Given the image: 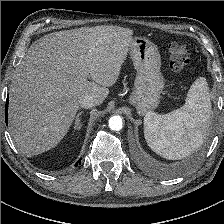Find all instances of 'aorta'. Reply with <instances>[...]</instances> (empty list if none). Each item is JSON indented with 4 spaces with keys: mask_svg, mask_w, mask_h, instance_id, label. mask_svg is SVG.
Returning a JSON list of instances; mask_svg holds the SVG:
<instances>
[{
    "mask_svg": "<svg viewBox=\"0 0 224 224\" xmlns=\"http://www.w3.org/2000/svg\"><path fill=\"white\" fill-rule=\"evenodd\" d=\"M122 118L119 115L112 116L109 119V127L113 131H119L122 129Z\"/></svg>",
    "mask_w": 224,
    "mask_h": 224,
    "instance_id": "1",
    "label": "aorta"
}]
</instances>
